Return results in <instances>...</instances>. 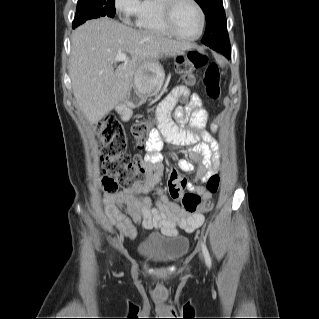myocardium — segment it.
Listing matches in <instances>:
<instances>
[{
	"label": "myocardium",
	"instance_id": "f54148a6",
	"mask_svg": "<svg viewBox=\"0 0 319 319\" xmlns=\"http://www.w3.org/2000/svg\"><path fill=\"white\" fill-rule=\"evenodd\" d=\"M161 12H162V19H163V23L167 29V31L174 37H176L177 39L183 40V41H196L198 40L204 30V26H205V14L204 11L202 9V7L200 6V4L196 1V0H161ZM190 2L192 5H194V7L196 8L198 15H199V20H200V25H199V30L197 32V34L195 36L192 37H185L180 35L173 24V17H174V12L176 10V8L178 7V5L181 2Z\"/></svg>",
	"mask_w": 319,
	"mask_h": 319
}]
</instances>
